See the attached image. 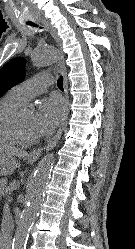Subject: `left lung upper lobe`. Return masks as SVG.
Returning a JSON list of instances; mask_svg holds the SVG:
<instances>
[{
    "instance_id": "1",
    "label": "left lung upper lobe",
    "mask_w": 135,
    "mask_h": 249,
    "mask_svg": "<svg viewBox=\"0 0 135 249\" xmlns=\"http://www.w3.org/2000/svg\"><path fill=\"white\" fill-rule=\"evenodd\" d=\"M25 59L15 58L0 70V97L9 89L19 84L25 76Z\"/></svg>"
}]
</instances>
